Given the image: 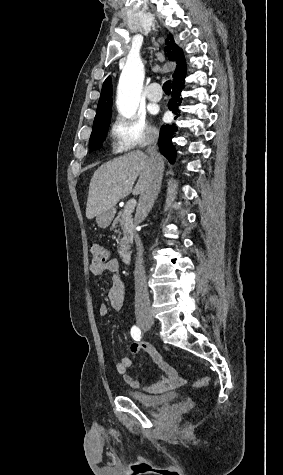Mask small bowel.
I'll return each instance as SVG.
<instances>
[{
    "label": "small bowel",
    "instance_id": "small-bowel-1",
    "mask_svg": "<svg viewBox=\"0 0 283 475\" xmlns=\"http://www.w3.org/2000/svg\"><path fill=\"white\" fill-rule=\"evenodd\" d=\"M119 262L117 259H111L105 264L91 263L89 266V272L93 276H101L106 272L112 274V285L108 292V300L111 307L114 310H120L124 304L125 284L123 279L118 273ZM98 314L101 317H105L108 314V307L106 304H100L98 307ZM141 349L145 350L153 362L165 373L162 379L155 387L158 391H167L174 389L185 384L184 373L182 371H176L169 364H167L161 355L149 344H133L130 348L133 354L138 353ZM133 359L129 356H123L121 359L114 363V370L123 376L124 381L134 389L141 387L140 381L128 372V369L132 366Z\"/></svg>",
    "mask_w": 283,
    "mask_h": 475
}]
</instances>
